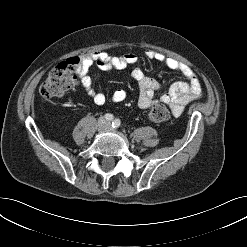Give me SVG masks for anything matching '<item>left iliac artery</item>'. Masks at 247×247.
<instances>
[{
	"label": "left iliac artery",
	"mask_w": 247,
	"mask_h": 247,
	"mask_svg": "<svg viewBox=\"0 0 247 247\" xmlns=\"http://www.w3.org/2000/svg\"><path fill=\"white\" fill-rule=\"evenodd\" d=\"M120 120L119 119H115L113 122H112V127L113 128H119L120 127Z\"/></svg>",
	"instance_id": "44dca946"
}]
</instances>
